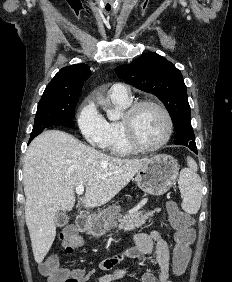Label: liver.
I'll list each match as a JSON object with an SVG mask.
<instances>
[{"mask_svg": "<svg viewBox=\"0 0 232 282\" xmlns=\"http://www.w3.org/2000/svg\"><path fill=\"white\" fill-rule=\"evenodd\" d=\"M101 153L61 130H48L29 145L23 166L25 220L34 259L41 263L56 236V214L74 207V188L86 184L81 203H108L146 163Z\"/></svg>", "mask_w": 232, "mask_h": 282, "instance_id": "obj_1", "label": "liver"}]
</instances>
